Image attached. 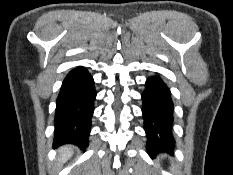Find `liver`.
Masks as SVG:
<instances>
[{"label":"liver","instance_id":"liver-1","mask_svg":"<svg viewBox=\"0 0 233 175\" xmlns=\"http://www.w3.org/2000/svg\"><path fill=\"white\" fill-rule=\"evenodd\" d=\"M73 149L71 146H63L59 149L60 159L59 161L64 163L66 162L72 155Z\"/></svg>","mask_w":233,"mask_h":175}]
</instances>
